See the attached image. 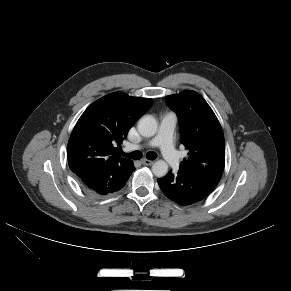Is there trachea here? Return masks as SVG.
<instances>
[{"mask_svg": "<svg viewBox=\"0 0 291 291\" xmlns=\"http://www.w3.org/2000/svg\"><path fill=\"white\" fill-rule=\"evenodd\" d=\"M120 155L134 160H139L142 158V153L140 151H133L131 153H124L123 151H121ZM146 158L149 160H154L157 158V154L155 152L150 151L146 154Z\"/></svg>", "mask_w": 291, "mask_h": 291, "instance_id": "1", "label": "trachea"}]
</instances>
